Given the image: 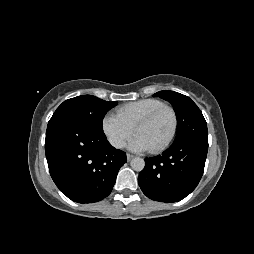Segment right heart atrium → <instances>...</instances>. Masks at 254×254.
Segmentation results:
<instances>
[{
  "label": "right heart atrium",
  "mask_w": 254,
  "mask_h": 254,
  "mask_svg": "<svg viewBox=\"0 0 254 254\" xmlns=\"http://www.w3.org/2000/svg\"><path fill=\"white\" fill-rule=\"evenodd\" d=\"M101 129L109 143L117 149L123 148L134 133V128L116 114H106L101 122Z\"/></svg>",
  "instance_id": "right-heart-atrium-1"
}]
</instances>
